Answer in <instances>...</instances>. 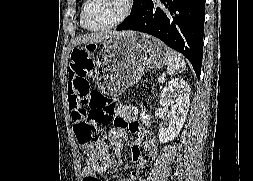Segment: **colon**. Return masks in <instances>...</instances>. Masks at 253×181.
Returning <instances> with one entry per match:
<instances>
[{
  "instance_id": "5ec220e1",
  "label": "colon",
  "mask_w": 253,
  "mask_h": 181,
  "mask_svg": "<svg viewBox=\"0 0 253 181\" xmlns=\"http://www.w3.org/2000/svg\"><path fill=\"white\" fill-rule=\"evenodd\" d=\"M96 41H87L86 48H73L72 66L84 55H95ZM73 129L76 140L88 153L86 165L92 170L105 168L109 155L104 143L103 125L114 117L113 99L93 90L70 99Z\"/></svg>"
}]
</instances>
